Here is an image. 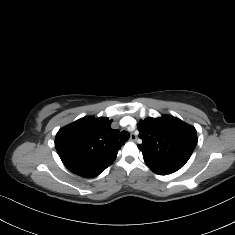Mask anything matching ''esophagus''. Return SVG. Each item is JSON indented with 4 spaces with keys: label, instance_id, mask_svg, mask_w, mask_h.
Here are the masks:
<instances>
[{
    "label": "esophagus",
    "instance_id": "esophagus-1",
    "mask_svg": "<svg viewBox=\"0 0 235 235\" xmlns=\"http://www.w3.org/2000/svg\"><path fill=\"white\" fill-rule=\"evenodd\" d=\"M137 140V136L132 133L131 136H130V141H136Z\"/></svg>",
    "mask_w": 235,
    "mask_h": 235
}]
</instances>
